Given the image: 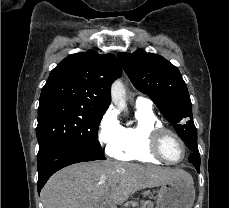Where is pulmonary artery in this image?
<instances>
[{
	"label": "pulmonary artery",
	"mask_w": 229,
	"mask_h": 208,
	"mask_svg": "<svg viewBox=\"0 0 229 208\" xmlns=\"http://www.w3.org/2000/svg\"><path fill=\"white\" fill-rule=\"evenodd\" d=\"M136 105L139 107H146V108H151L152 109V102L145 98V97H139L136 100Z\"/></svg>",
	"instance_id": "obj_1"
}]
</instances>
